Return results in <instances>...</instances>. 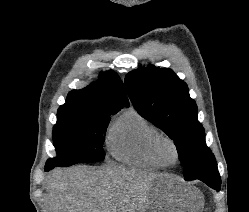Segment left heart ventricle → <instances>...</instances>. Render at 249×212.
Returning a JSON list of instances; mask_svg holds the SVG:
<instances>
[{
    "instance_id": "b2bd125f",
    "label": "left heart ventricle",
    "mask_w": 249,
    "mask_h": 212,
    "mask_svg": "<svg viewBox=\"0 0 249 212\" xmlns=\"http://www.w3.org/2000/svg\"><path fill=\"white\" fill-rule=\"evenodd\" d=\"M161 153H162V156L164 157V159H166L167 161H169V162L175 161V153L169 144L165 143L162 145Z\"/></svg>"
}]
</instances>
